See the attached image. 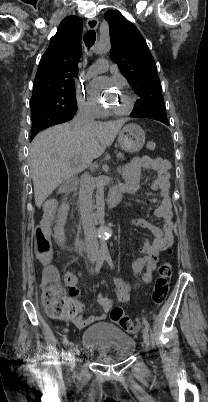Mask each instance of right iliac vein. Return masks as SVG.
Masks as SVG:
<instances>
[{
    "instance_id": "1",
    "label": "right iliac vein",
    "mask_w": 208,
    "mask_h": 402,
    "mask_svg": "<svg viewBox=\"0 0 208 402\" xmlns=\"http://www.w3.org/2000/svg\"><path fill=\"white\" fill-rule=\"evenodd\" d=\"M91 263L95 262V258L90 259ZM75 347L73 343H70L69 351H68V359H69V364L73 368L75 366Z\"/></svg>"
}]
</instances>
